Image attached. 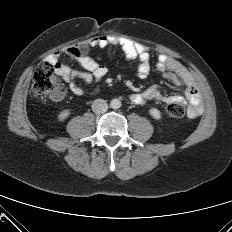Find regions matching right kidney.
I'll return each instance as SVG.
<instances>
[{"label": "right kidney", "mask_w": 232, "mask_h": 232, "mask_svg": "<svg viewBox=\"0 0 232 232\" xmlns=\"http://www.w3.org/2000/svg\"><path fill=\"white\" fill-rule=\"evenodd\" d=\"M69 115H70V111H69V110H64L63 112H61V113L58 115V119H59V121H63V120H65Z\"/></svg>", "instance_id": "1"}]
</instances>
